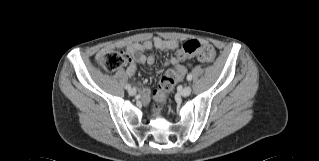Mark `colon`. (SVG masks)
<instances>
[{"label":"colon","mask_w":319,"mask_h":161,"mask_svg":"<svg viewBox=\"0 0 319 161\" xmlns=\"http://www.w3.org/2000/svg\"><path fill=\"white\" fill-rule=\"evenodd\" d=\"M198 55L202 61H215L217 58L216 52L212 47H201V44L196 39L184 41L181 45V52L177 58L183 61L187 57ZM99 66L108 72H114L122 69L128 62V57L122 51H108L102 54L97 60ZM182 69L177 67L169 70L161 79L158 89L155 92V97L159 102H164L167 94L172 91L180 82ZM157 112H161V107H158Z\"/></svg>","instance_id":"obj_1"}]
</instances>
